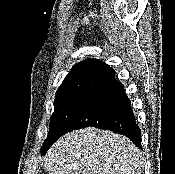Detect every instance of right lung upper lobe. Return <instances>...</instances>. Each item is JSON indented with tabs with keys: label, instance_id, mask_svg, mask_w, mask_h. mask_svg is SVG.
Here are the masks:
<instances>
[{
	"label": "right lung upper lobe",
	"instance_id": "right-lung-upper-lobe-1",
	"mask_svg": "<svg viewBox=\"0 0 175 174\" xmlns=\"http://www.w3.org/2000/svg\"><path fill=\"white\" fill-rule=\"evenodd\" d=\"M114 74L115 71L99 59L83 60L65 77L56 96L78 92L89 93Z\"/></svg>",
	"mask_w": 175,
	"mask_h": 174
}]
</instances>
